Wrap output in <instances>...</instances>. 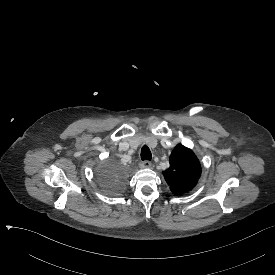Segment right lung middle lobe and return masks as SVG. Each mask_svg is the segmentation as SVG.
Listing matches in <instances>:
<instances>
[{"label":"right lung middle lobe","mask_w":275,"mask_h":275,"mask_svg":"<svg viewBox=\"0 0 275 275\" xmlns=\"http://www.w3.org/2000/svg\"><path fill=\"white\" fill-rule=\"evenodd\" d=\"M97 177L109 194H117L124 187L123 173L114 164H103L97 170Z\"/></svg>","instance_id":"1"}]
</instances>
